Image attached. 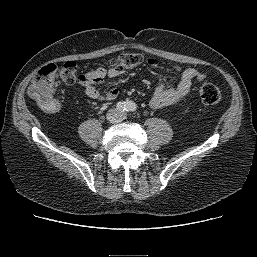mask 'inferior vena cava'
<instances>
[{
	"label": "inferior vena cava",
	"mask_w": 257,
	"mask_h": 257,
	"mask_svg": "<svg viewBox=\"0 0 257 257\" xmlns=\"http://www.w3.org/2000/svg\"><path fill=\"white\" fill-rule=\"evenodd\" d=\"M115 115H117L118 117L117 118H115L114 116ZM107 118H108V120L110 121V122H112V123H118V122H120V121H122V114L118 111V110H116V109H113V110H111L108 114H107Z\"/></svg>",
	"instance_id": "1"
}]
</instances>
